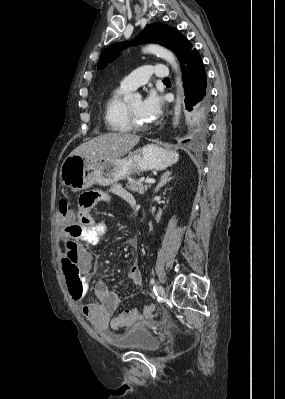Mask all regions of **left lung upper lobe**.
I'll return each mask as SVG.
<instances>
[{
    "label": "left lung upper lobe",
    "instance_id": "obj_1",
    "mask_svg": "<svg viewBox=\"0 0 285 399\" xmlns=\"http://www.w3.org/2000/svg\"><path fill=\"white\" fill-rule=\"evenodd\" d=\"M145 42L158 43L172 50L179 61H181L185 53L192 49V44L189 40L181 35L176 28L162 23L147 24L134 41L117 43L104 49L98 61V68L102 69L107 63L112 62L120 55L121 50L128 45H137Z\"/></svg>",
    "mask_w": 285,
    "mask_h": 399
}]
</instances>
